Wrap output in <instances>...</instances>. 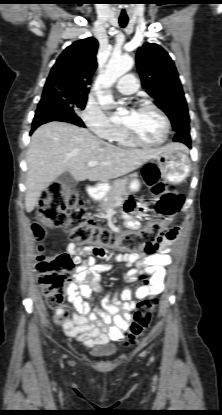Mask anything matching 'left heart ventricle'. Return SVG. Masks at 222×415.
I'll use <instances>...</instances> for the list:
<instances>
[{"instance_id": "left-heart-ventricle-1", "label": "left heart ventricle", "mask_w": 222, "mask_h": 415, "mask_svg": "<svg viewBox=\"0 0 222 415\" xmlns=\"http://www.w3.org/2000/svg\"><path fill=\"white\" fill-rule=\"evenodd\" d=\"M121 123L131 127L141 139L147 142L161 140L165 131L162 118L151 108L126 111Z\"/></svg>"}]
</instances>
